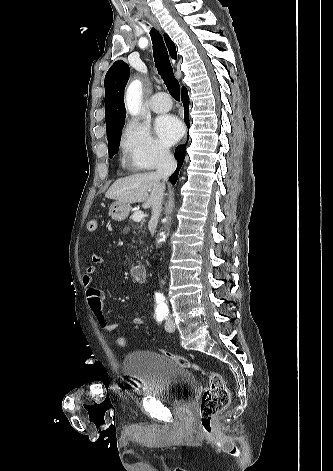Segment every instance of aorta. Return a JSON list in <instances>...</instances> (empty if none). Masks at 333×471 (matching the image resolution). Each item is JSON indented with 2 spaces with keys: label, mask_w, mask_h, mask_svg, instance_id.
Returning <instances> with one entry per match:
<instances>
[{
  "label": "aorta",
  "mask_w": 333,
  "mask_h": 471,
  "mask_svg": "<svg viewBox=\"0 0 333 471\" xmlns=\"http://www.w3.org/2000/svg\"><path fill=\"white\" fill-rule=\"evenodd\" d=\"M142 99V83L140 80L133 81L126 92V107L131 115H137L141 106ZM166 239L164 232L160 233L159 242H163ZM156 303L158 307H165V298L162 294L156 293Z\"/></svg>",
  "instance_id": "762f6f07"
}]
</instances>
